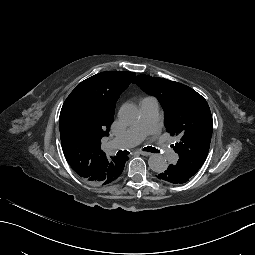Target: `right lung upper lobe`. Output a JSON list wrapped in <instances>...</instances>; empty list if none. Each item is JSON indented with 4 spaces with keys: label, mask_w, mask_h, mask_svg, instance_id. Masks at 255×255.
Instances as JSON below:
<instances>
[{
    "label": "right lung upper lobe",
    "mask_w": 255,
    "mask_h": 255,
    "mask_svg": "<svg viewBox=\"0 0 255 255\" xmlns=\"http://www.w3.org/2000/svg\"><path fill=\"white\" fill-rule=\"evenodd\" d=\"M134 76L132 72L98 73L78 84L61 109L59 128L64 156L80 177L93 184L115 181L128 159L107 157L100 146L101 139L109 135L116 101ZM70 127L79 129V136L65 138L64 133Z\"/></svg>",
    "instance_id": "1"
}]
</instances>
